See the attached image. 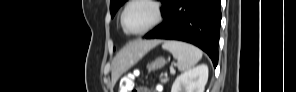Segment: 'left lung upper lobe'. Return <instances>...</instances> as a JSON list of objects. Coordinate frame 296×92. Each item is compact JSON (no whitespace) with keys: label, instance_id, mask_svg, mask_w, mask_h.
Masks as SVG:
<instances>
[{"label":"left lung upper lobe","instance_id":"5c2ea615","mask_svg":"<svg viewBox=\"0 0 296 92\" xmlns=\"http://www.w3.org/2000/svg\"><path fill=\"white\" fill-rule=\"evenodd\" d=\"M127 0H111L110 2V12H111V16L114 17L115 13L117 12V10L119 9V7L121 5H123L124 2H126ZM161 2L163 3V8L161 9V12L163 14L169 0H161Z\"/></svg>","mask_w":296,"mask_h":92}]
</instances>
